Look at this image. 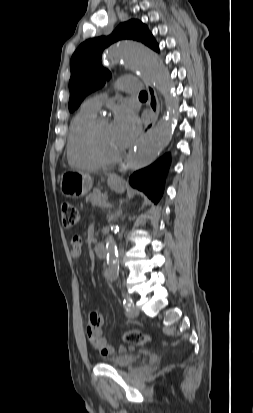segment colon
Instances as JSON below:
<instances>
[{
    "label": "colon",
    "instance_id": "colon-1",
    "mask_svg": "<svg viewBox=\"0 0 253 413\" xmlns=\"http://www.w3.org/2000/svg\"><path fill=\"white\" fill-rule=\"evenodd\" d=\"M60 212L61 220L65 227H72L77 223L79 214L77 208L73 204L62 202ZM123 340L126 343L140 345L147 343L150 340V336L141 331L131 330L123 334Z\"/></svg>",
    "mask_w": 253,
    "mask_h": 413
}]
</instances>
